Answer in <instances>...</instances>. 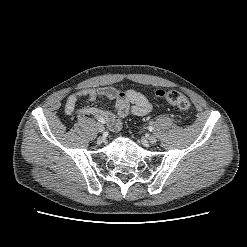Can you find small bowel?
Here are the masks:
<instances>
[{
	"mask_svg": "<svg viewBox=\"0 0 247 247\" xmlns=\"http://www.w3.org/2000/svg\"><path fill=\"white\" fill-rule=\"evenodd\" d=\"M97 98H107L114 103L113 111L96 107H84L79 110L83 116L103 118L112 131H118L123 119L129 114L145 116L152 110V105L145 95L135 90L120 91L114 87L100 89H83L71 94L65 104V114L71 115L83 100L94 101Z\"/></svg>",
	"mask_w": 247,
	"mask_h": 247,
	"instance_id": "obj_1",
	"label": "small bowel"
}]
</instances>
